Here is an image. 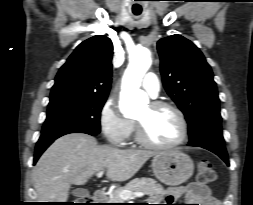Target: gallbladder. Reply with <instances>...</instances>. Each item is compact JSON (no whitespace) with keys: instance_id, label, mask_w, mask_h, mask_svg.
I'll list each match as a JSON object with an SVG mask.
<instances>
[{"instance_id":"gallbladder-1","label":"gallbladder","mask_w":253,"mask_h":205,"mask_svg":"<svg viewBox=\"0 0 253 205\" xmlns=\"http://www.w3.org/2000/svg\"><path fill=\"white\" fill-rule=\"evenodd\" d=\"M72 194L74 196L82 197V198L89 196V192L86 189H76V190H73Z\"/></svg>"}]
</instances>
